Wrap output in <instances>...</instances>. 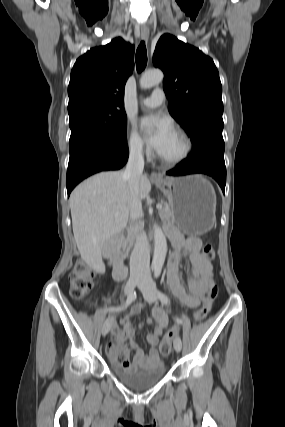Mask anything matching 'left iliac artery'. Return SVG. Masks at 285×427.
<instances>
[{
    "label": "left iliac artery",
    "instance_id": "obj_1",
    "mask_svg": "<svg viewBox=\"0 0 285 427\" xmlns=\"http://www.w3.org/2000/svg\"><path fill=\"white\" fill-rule=\"evenodd\" d=\"M160 273H161V269L160 268L155 269L154 276H155L156 279L159 277ZM158 297H159V299H160V301H161L162 304L166 305V304L169 303V299H168L167 295H165L163 292L158 291ZM176 322L178 324H182V320L179 319V318H176Z\"/></svg>",
    "mask_w": 285,
    "mask_h": 427
}]
</instances>
